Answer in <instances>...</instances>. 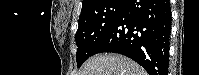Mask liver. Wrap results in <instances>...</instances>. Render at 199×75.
Masks as SVG:
<instances>
[{"label":"liver","instance_id":"obj_1","mask_svg":"<svg viewBox=\"0 0 199 75\" xmlns=\"http://www.w3.org/2000/svg\"><path fill=\"white\" fill-rule=\"evenodd\" d=\"M79 75H147V73L125 56L105 53L89 58Z\"/></svg>","mask_w":199,"mask_h":75}]
</instances>
